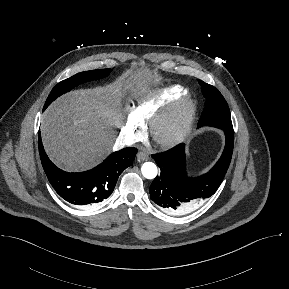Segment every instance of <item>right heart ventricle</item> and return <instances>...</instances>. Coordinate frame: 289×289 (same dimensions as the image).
<instances>
[{
	"mask_svg": "<svg viewBox=\"0 0 289 289\" xmlns=\"http://www.w3.org/2000/svg\"><path fill=\"white\" fill-rule=\"evenodd\" d=\"M185 92L186 90L179 85L161 89L155 94L139 100L134 106L132 113L137 120L144 123L152 118L160 109Z\"/></svg>",
	"mask_w": 289,
	"mask_h": 289,
	"instance_id": "right-heart-ventricle-1",
	"label": "right heart ventricle"
}]
</instances>
